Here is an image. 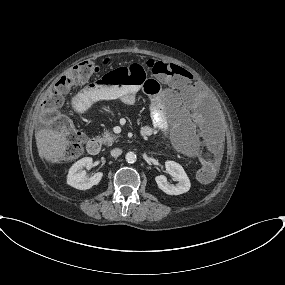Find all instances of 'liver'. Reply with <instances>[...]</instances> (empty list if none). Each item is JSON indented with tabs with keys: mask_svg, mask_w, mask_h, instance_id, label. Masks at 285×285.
<instances>
[{
	"mask_svg": "<svg viewBox=\"0 0 285 285\" xmlns=\"http://www.w3.org/2000/svg\"><path fill=\"white\" fill-rule=\"evenodd\" d=\"M68 132L53 129H40L36 132V145L41 158L51 163H59L66 156L69 140Z\"/></svg>",
	"mask_w": 285,
	"mask_h": 285,
	"instance_id": "obj_1",
	"label": "liver"
}]
</instances>
